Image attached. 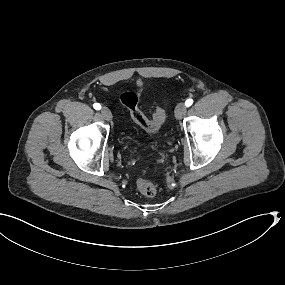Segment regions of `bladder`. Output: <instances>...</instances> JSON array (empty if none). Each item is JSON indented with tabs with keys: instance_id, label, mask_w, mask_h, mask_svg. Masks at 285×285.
Listing matches in <instances>:
<instances>
[{
	"instance_id": "1",
	"label": "bladder",
	"mask_w": 285,
	"mask_h": 285,
	"mask_svg": "<svg viewBox=\"0 0 285 285\" xmlns=\"http://www.w3.org/2000/svg\"><path fill=\"white\" fill-rule=\"evenodd\" d=\"M155 144H156V141H155V140H152L149 145H150V146H155ZM145 146H147V144H146Z\"/></svg>"
}]
</instances>
